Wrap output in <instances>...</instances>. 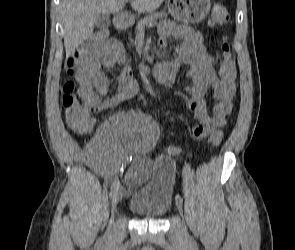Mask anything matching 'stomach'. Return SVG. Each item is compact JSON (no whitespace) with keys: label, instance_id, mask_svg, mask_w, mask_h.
Segmentation results:
<instances>
[{"label":"stomach","instance_id":"obj_1","mask_svg":"<svg viewBox=\"0 0 295 250\" xmlns=\"http://www.w3.org/2000/svg\"><path fill=\"white\" fill-rule=\"evenodd\" d=\"M168 11L176 20L185 23L202 21L210 11V0H168Z\"/></svg>","mask_w":295,"mask_h":250}]
</instances>
